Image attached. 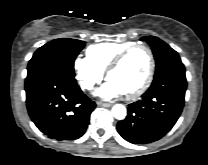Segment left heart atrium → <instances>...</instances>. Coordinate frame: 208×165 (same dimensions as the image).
Masks as SVG:
<instances>
[{
  "instance_id": "1",
  "label": "left heart atrium",
  "mask_w": 208,
  "mask_h": 165,
  "mask_svg": "<svg viewBox=\"0 0 208 165\" xmlns=\"http://www.w3.org/2000/svg\"><path fill=\"white\" fill-rule=\"evenodd\" d=\"M122 94L118 87L110 80H108L98 91L97 95L104 98H112Z\"/></svg>"
}]
</instances>
